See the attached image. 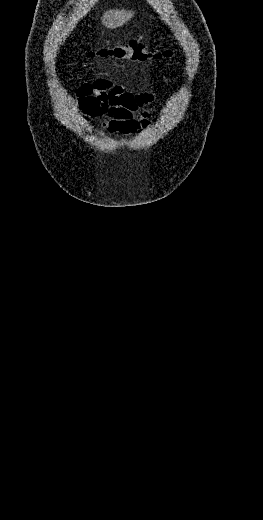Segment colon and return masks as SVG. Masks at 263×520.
Returning a JSON list of instances; mask_svg holds the SVG:
<instances>
[{
	"label": "colon",
	"mask_w": 263,
	"mask_h": 520,
	"mask_svg": "<svg viewBox=\"0 0 263 520\" xmlns=\"http://www.w3.org/2000/svg\"><path fill=\"white\" fill-rule=\"evenodd\" d=\"M92 56L111 57L118 60L146 61L153 58H163L171 55L169 50L150 49L139 40H129L113 47L103 48L91 53Z\"/></svg>",
	"instance_id": "colon-1"
}]
</instances>
